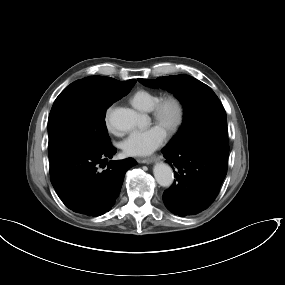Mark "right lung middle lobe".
<instances>
[{
  "instance_id": "dd1d6c3e",
  "label": "right lung middle lobe",
  "mask_w": 285,
  "mask_h": 285,
  "mask_svg": "<svg viewBox=\"0 0 285 285\" xmlns=\"http://www.w3.org/2000/svg\"><path fill=\"white\" fill-rule=\"evenodd\" d=\"M130 90L103 76L83 78L67 86L56 98L48 119L50 162L74 149L110 144L106 110Z\"/></svg>"
}]
</instances>
